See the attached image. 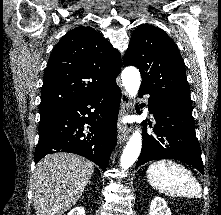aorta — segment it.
<instances>
[{
    "instance_id": "762f6f07",
    "label": "aorta",
    "mask_w": 221,
    "mask_h": 215,
    "mask_svg": "<svg viewBox=\"0 0 221 215\" xmlns=\"http://www.w3.org/2000/svg\"><path fill=\"white\" fill-rule=\"evenodd\" d=\"M121 79L126 92L131 98H135L140 87L141 77L137 68L126 67L121 73ZM142 148V136L139 130H135L127 142L120 159V167L128 169L137 160Z\"/></svg>"
}]
</instances>
